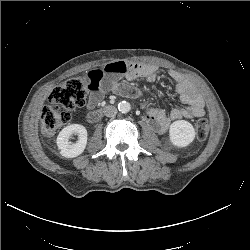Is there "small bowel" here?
<instances>
[{
    "mask_svg": "<svg viewBox=\"0 0 250 250\" xmlns=\"http://www.w3.org/2000/svg\"><path fill=\"white\" fill-rule=\"evenodd\" d=\"M159 70L154 65L136 62H112L102 68L88 72L89 100L88 107H95L108 91H114L122 95H135L136 91L130 90L121 82L127 80L146 79L154 81ZM175 82V91L182 103L186 106L165 112L162 109L147 107L146 121L159 133L165 132L173 121L183 118H195L204 115V101L195 86L176 71L169 72Z\"/></svg>",
    "mask_w": 250,
    "mask_h": 250,
    "instance_id": "obj_1",
    "label": "small bowel"
}]
</instances>
